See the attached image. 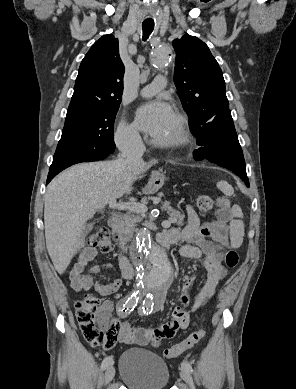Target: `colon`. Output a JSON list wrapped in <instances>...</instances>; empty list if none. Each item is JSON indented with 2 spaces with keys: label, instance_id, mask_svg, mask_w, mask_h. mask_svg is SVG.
Masks as SVG:
<instances>
[{
  "label": "colon",
  "instance_id": "5ec220e1",
  "mask_svg": "<svg viewBox=\"0 0 296 389\" xmlns=\"http://www.w3.org/2000/svg\"><path fill=\"white\" fill-rule=\"evenodd\" d=\"M197 207L202 214H206L213 207V200L208 195H200L197 199ZM88 245L107 253L111 248L109 232L105 228H98L88 238ZM239 263V255L234 250L225 252V264L229 268H235ZM76 318L83 337L87 342L103 349H112L120 333V325L112 320L109 311L100 304L97 297L85 294L75 303ZM205 336L202 328L194 330L185 340L174 344L164 350L167 358H176L185 351L191 349Z\"/></svg>",
  "mask_w": 296,
  "mask_h": 389
}]
</instances>
